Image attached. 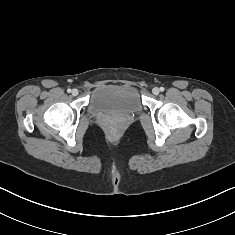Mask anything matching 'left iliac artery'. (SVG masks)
I'll list each match as a JSON object with an SVG mask.
<instances>
[{
    "label": "left iliac artery",
    "instance_id": "left-iliac-artery-1",
    "mask_svg": "<svg viewBox=\"0 0 235 235\" xmlns=\"http://www.w3.org/2000/svg\"><path fill=\"white\" fill-rule=\"evenodd\" d=\"M160 91L163 92V91H164V88H163V87H160Z\"/></svg>",
    "mask_w": 235,
    "mask_h": 235
}]
</instances>
